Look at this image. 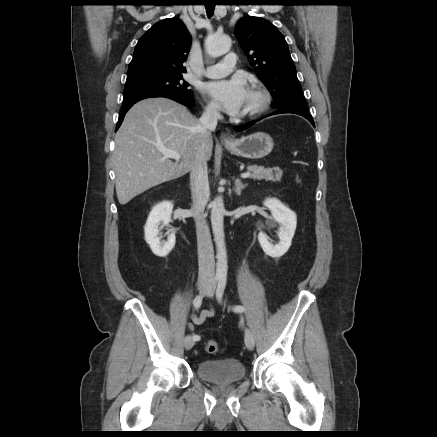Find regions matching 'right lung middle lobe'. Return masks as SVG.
I'll return each instance as SVG.
<instances>
[{"mask_svg":"<svg viewBox=\"0 0 437 437\" xmlns=\"http://www.w3.org/2000/svg\"><path fill=\"white\" fill-rule=\"evenodd\" d=\"M182 73L133 72L127 73L123 105L159 95L193 97Z\"/></svg>","mask_w":437,"mask_h":437,"instance_id":"1","label":"right lung middle lobe"}]
</instances>
